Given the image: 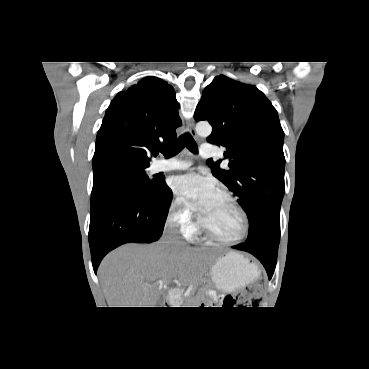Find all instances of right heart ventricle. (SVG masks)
Here are the masks:
<instances>
[{"instance_id":"obj_1","label":"right heart ventricle","mask_w":369,"mask_h":369,"mask_svg":"<svg viewBox=\"0 0 369 369\" xmlns=\"http://www.w3.org/2000/svg\"><path fill=\"white\" fill-rule=\"evenodd\" d=\"M196 232V229H194L193 231H191V233H189L188 235H192Z\"/></svg>"}]
</instances>
